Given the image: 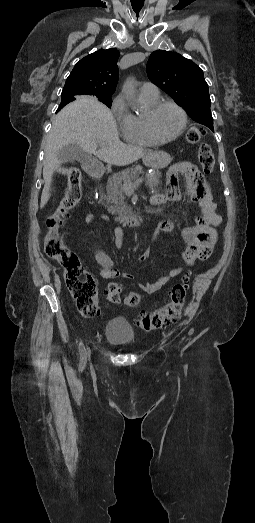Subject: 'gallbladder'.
<instances>
[{
  "label": "gallbladder",
  "mask_w": 255,
  "mask_h": 523,
  "mask_svg": "<svg viewBox=\"0 0 255 523\" xmlns=\"http://www.w3.org/2000/svg\"><path fill=\"white\" fill-rule=\"evenodd\" d=\"M58 158L61 162H81V164H90L92 156L80 148L79 144H67L58 150Z\"/></svg>",
  "instance_id": "bac80fb5"
}]
</instances>
